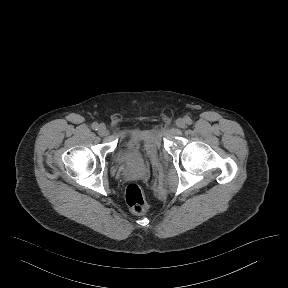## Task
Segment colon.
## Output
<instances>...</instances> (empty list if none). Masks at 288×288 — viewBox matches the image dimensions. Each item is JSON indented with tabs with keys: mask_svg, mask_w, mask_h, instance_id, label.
<instances>
[{
	"mask_svg": "<svg viewBox=\"0 0 288 288\" xmlns=\"http://www.w3.org/2000/svg\"><path fill=\"white\" fill-rule=\"evenodd\" d=\"M125 200L129 209L137 215H144L148 210L144 190L136 182H131L128 185Z\"/></svg>",
	"mask_w": 288,
	"mask_h": 288,
	"instance_id": "5ec220e1",
	"label": "colon"
}]
</instances>
